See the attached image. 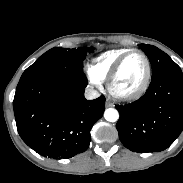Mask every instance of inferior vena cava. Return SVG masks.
Wrapping results in <instances>:
<instances>
[{
	"instance_id": "1",
	"label": "inferior vena cava",
	"mask_w": 183,
	"mask_h": 183,
	"mask_svg": "<svg viewBox=\"0 0 183 183\" xmlns=\"http://www.w3.org/2000/svg\"><path fill=\"white\" fill-rule=\"evenodd\" d=\"M100 96L99 92L95 90L93 87H87L85 89V98L87 100L96 99Z\"/></svg>"
}]
</instances>
